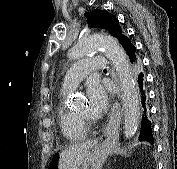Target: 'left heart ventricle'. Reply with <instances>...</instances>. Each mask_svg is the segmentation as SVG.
Masks as SVG:
<instances>
[{
	"mask_svg": "<svg viewBox=\"0 0 177 169\" xmlns=\"http://www.w3.org/2000/svg\"><path fill=\"white\" fill-rule=\"evenodd\" d=\"M76 112H77V113H80V114H83V115H86V116H88L89 118H92V119L97 118L96 116L92 115V114L89 112L88 103H87L86 100H84V101L78 106V108L76 109Z\"/></svg>",
	"mask_w": 177,
	"mask_h": 169,
	"instance_id": "obj_1",
	"label": "left heart ventricle"
}]
</instances>
